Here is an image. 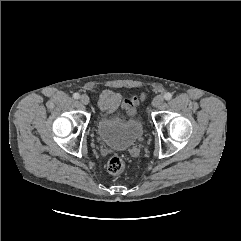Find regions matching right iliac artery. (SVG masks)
I'll return each mask as SVG.
<instances>
[{
	"label": "right iliac artery",
	"instance_id": "1",
	"mask_svg": "<svg viewBox=\"0 0 241 241\" xmlns=\"http://www.w3.org/2000/svg\"><path fill=\"white\" fill-rule=\"evenodd\" d=\"M79 97H80V95H79L78 93H74V94H73V98H74V99H78Z\"/></svg>",
	"mask_w": 241,
	"mask_h": 241
}]
</instances>
